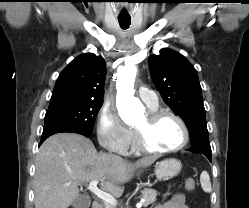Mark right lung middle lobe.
<instances>
[{"instance_id":"right-lung-middle-lobe-1","label":"right lung middle lobe","mask_w":249,"mask_h":208,"mask_svg":"<svg viewBox=\"0 0 249 208\" xmlns=\"http://www.w3.org/2000/svg\"><path fill=\"white\" fill-rule=\"evenodd\" d=\"M102 103V101H79L51 106L46 111L44 128L63 127L91 135Z\"/></svg>"}]
</instances>
